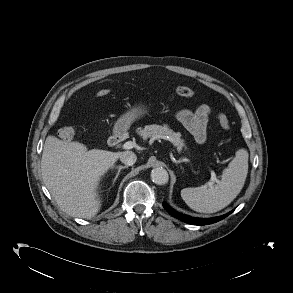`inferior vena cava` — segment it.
Listing matches in <instances>:
<instances>
[{"label":"inferior vena cava","instance_id":"obj_1","mask_svg":"<svg viewBox=\"0 0 293 293\" xmlns=\"http://www.w3.org/2000/svg\"><path fill=\"white\" fill-rule=\"evenodd\" d=\"M136 160H137V156L132 151H125V152H122L120 155V161L128 166L133 165L136 162Z\"/></svg>","mask_w":293,"mask_h":293}]
</instances>
